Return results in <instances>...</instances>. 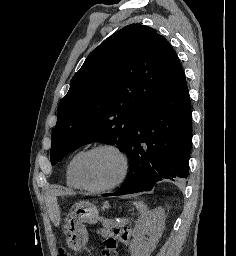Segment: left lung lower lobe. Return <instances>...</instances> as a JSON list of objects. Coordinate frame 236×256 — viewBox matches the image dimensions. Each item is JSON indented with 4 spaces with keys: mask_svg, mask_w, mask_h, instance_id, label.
I'll list each match as a JSON object with an SVG mask.
<instances>
[{
    "mask_svg": "<svg viewBox=\"0 0 236 256\" xmlns=\"http://www.w3.org/2000/svg\"><path fill=\"white\" fill-rule=\"evenodd\" d=\"M192 117L185 74L139 115L130 133L126 155L130 169L112 194L150 191L158 181L188 177Z\"/></svg>",
    "mask_w": 236,
    "mask_h": 256,
    "instance_id": "1",
    "label": "left lung lower lobe"
}]
</instances>
